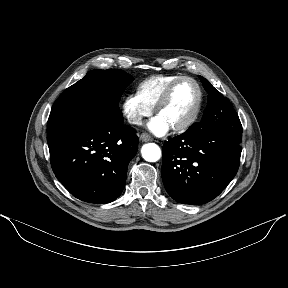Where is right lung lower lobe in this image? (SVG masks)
Segmentation results:
<instances>
[{"label": "right lung lower lobe", "instance_id": "obj_1", "mask_svg": "<svg viewBox=\"0 0 288 288\" xmlns=\"http://www.w3.org/2000/svg\"><path fill=\"white\" fill-rule=\"evenodd\" d=\"M47 132L53 172L73 196L100 204L119 197L138 149L133 128L83 100L49 117Z\"/></svg>", "mask_w": 288, "mask_h": 288}]
</instances>
